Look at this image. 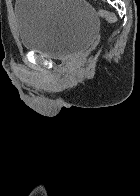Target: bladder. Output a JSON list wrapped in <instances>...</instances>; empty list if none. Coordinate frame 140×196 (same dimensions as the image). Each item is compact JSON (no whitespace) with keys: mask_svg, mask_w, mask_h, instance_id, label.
<instances>
[{"mask_svg":"<svg viewBox=\"0 0 140 196\" xmlns=\"http://www.w3.org/2000/svg\"><path fill=\"white\" fill-rule=\"evenodd\" d=\"M14 14L22 48L50 59L84 52L99 30L97 13L85 0H16Z\"/></svg>","mask_w":140,"mask_h":196,"instance_id":"bladder-1","label":"bladder"}]
</instances>
